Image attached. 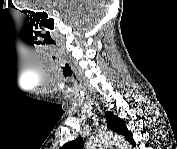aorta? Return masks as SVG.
<instances>
[{"label":"aorta","mask_w":177,"mask_h":149,"mask_svg":"<svg viewBox=\"0 0 177 149\" xmlns=\"http://www.w3.org/2000/svg\"><path fill=\"white\" fill-rule=\"evenodd\" d=\"M114 142H122L123 148H127L124 140L118 136H113L109 134L100 135L95 137L87 146V149H103L106 145Z\"/></svg>","instance_id":"aorta-1"}]
</instances>
